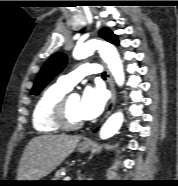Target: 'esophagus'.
<instances>
[{
  "label": "esophagus",
  "mask_w": 178,
  "mask_h": 186,
  "mask_svg": "<svg viewBox=\"0 0 178 186\" xmlns=\"http://www.w3.org/2000/svg\"><path fill=\"white\" fill-rule=\"evenodd\" d=\"M107 79H108V83L110 86L111 99H110L108 107H107V112L105 114V118H107L110 115L111 111L113 110V107L115 105V100H116V93H115L113 79H112V76L108 70H107Z\"/></svg>",
  "instance_id": "1"
}]
</instances>
